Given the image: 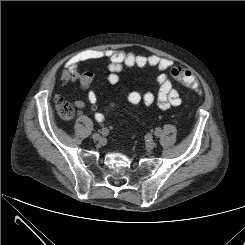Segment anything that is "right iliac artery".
I'll use <instances>...</instances> for the list:
<instances>
[{"label":"right iliac artery","mask_w":245,"mask_h":245,"mask_svg":"<svg viewBox=\"0 0 245 245\" xmlns=\"http://www.w3.org/2000/svg\"><path fill=\"white\" fill-rule=\"evenodd\" d=\"M107 133H108V130H107L106 128H103V129L101 130V134H102V135H107Z\"/></svg>","instance_id":"1"}]
</instances>
